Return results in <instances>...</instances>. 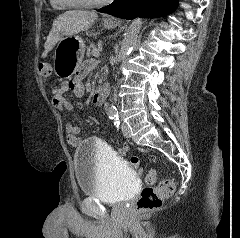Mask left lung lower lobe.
<instances>
[{"mask_svg":"<svg viewBox=\"0 0 240 238\" xmlns=\"http://www.w3.org/2000/svg\"><path fill=\"white\" fill-rule=\"evenodd\" d=\"M178 0H115L99 12L113 16L134 19L136 17H159L173 12Z\"/></svg>","mask_w":240,"mask_h":238,"instance_id":"1","label":"left lung lower lobe"}]
</instances>
